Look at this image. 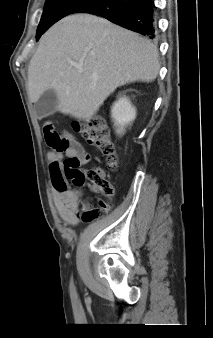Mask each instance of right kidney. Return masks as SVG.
I'll use <instances>...</instances> for the list:
<instances>
[{"label":"right kidney","mask_w":213,"mask_h":338,"mask_svg":"<svg viewBox=\"0 0 213 338\" xmlns=\"http://www.w3.org/2000/svg\"><path fill=\"white\" fill-rule=\"evenodd\" d=\"M111 117L114 121V125L118 127L117 134H122L124 128L136 118V108L132 105L128 97H120L111 108Z\"/></svg>","instance_id":"right-kidney-1"}]
</instances>
